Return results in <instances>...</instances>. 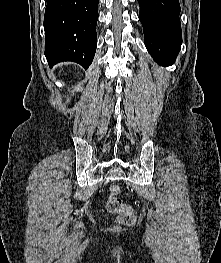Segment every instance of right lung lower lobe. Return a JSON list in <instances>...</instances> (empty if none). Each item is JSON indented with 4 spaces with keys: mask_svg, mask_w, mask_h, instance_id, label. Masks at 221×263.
Segmentation results:
<instances>
[{
    "mask_svg": "<svg viewBox=\"0 0 221 263\" xmlns=\"http://www.w3.org/2000/svg\"><path fill=\"white\" fill-rule=\"evenodd\" d=\"M45 56L50 66L73 61L87 69L93 61L99 0H46Z\"/></svg>",
    "mask_w": 221,
    "mask_h": 263,
    "instance_id": "98d812e1",
    "label": "right lung lower lobe"
}]
</instances>
